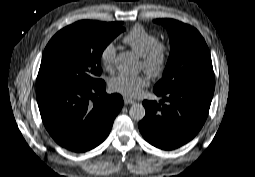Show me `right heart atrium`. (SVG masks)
I'll return each instance as SVG.
<instances>
[{
    "label": "right heart atrium",
    "mask_w": 255,
    "mask_h": 177,
    "mask_svg": "<svg viewBox=\"0 0 255 177\" xmlns=\"http://www.w3.org/2000/svg\"><path fill=\"white\" fill-rule=\"evenodd\" d=\"M116 56L115 44L107 43L100 52L101 64L107 69L112 70Z\"/></svg>",
    "instance_id": "d8ad5b80"
}]
</instances>
